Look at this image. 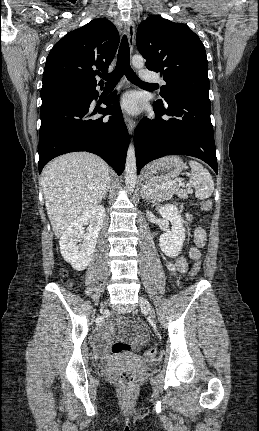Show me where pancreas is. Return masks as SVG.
<instances>
[{
    "instance_id": "1",
    "label": "pancreas",
    "mask_w": 259,
    "mask_h": 431,
    "mask_svg": "<svg viewBox=\"0 0 259 431\" xmlns=\"http://www.w3.org/2000/svg\"><path fill=\"white\" fill-rule=\"evenodd\" d=\"M162 184H147V187L152 190L150 194L151 199L153 200H169L172 198L173 194H177L179 198L187 199L188 193L187 190L180 188L181 185L168 184L162 188Z\"/></svg>"
}]
</instances>
